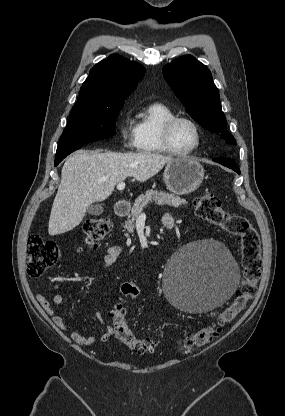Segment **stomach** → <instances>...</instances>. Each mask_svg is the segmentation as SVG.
Segmentation results:
<instances>
[{
    "instance_id": "stomach-1",
    "label": "stomach",
    "mask_w": 285,
    "mask_h": 416,
    "mask_svg": "<svg viewBox=\"0 0 285 416\" xmlns=\"http://www.w3.org/2000/svg\"><path fill=\"white\" fill-rule=\"evenodd\" d=\"M203 178V166L194 158H176L167 164L163 174L167 190L178 196L195 192Z\"/></svg>"
}]
</instances>
